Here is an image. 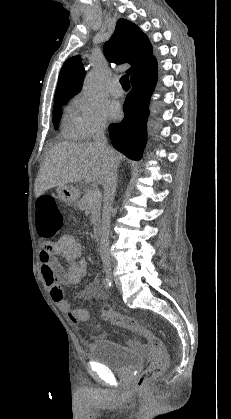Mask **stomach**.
I'll return each instance as SVG.
<instances>
[{"label":"stomach","mask_w":231,"mask_h":419,"mask_svg":"<svg viewBox=\"0 0 231 419\" xmlns=\"http://www.w3.org/2000/svg\"><path fill=\"white\" fill-rule=\"evenodd\" d=\"M58 198L66 204H75L80 196V190L71 185L57 187Z\"/></svg>","instance_id":"stomach-1"}]
</instances>
